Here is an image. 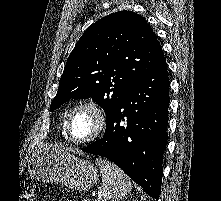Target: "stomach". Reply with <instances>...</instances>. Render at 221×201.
Listing matches in <instances>:
<instances>
[{
  "label": "stomach",
  "instance_id": "0dacf381",
  "mask_svg": "<svg viewBox=\"0 0 221 201\" xmlns=\"http://www.w3.org/2000/svg\"><path fill=\"white\" fill-rule=\"evenodd\" d=\"M27 171L34 179L61 183L77 191L88 190L98 182L97 168L91 162L65 150L47 148L32 154Z\"/></svg>",
  "mask_w": 221,
  "mask_h": 201
}]
</instances>
